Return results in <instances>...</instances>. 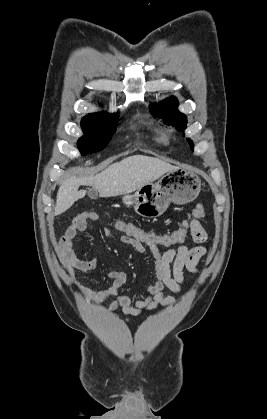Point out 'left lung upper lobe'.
<instances>
[{"label":"left lung upper lobe","instance_id":"5c2ea615","mask_svg":"<svg viewBox=\"0 0 267 419\" xmlns=\"http://www.w3.org/2000/svg\"><path fill=\"white\" fill-rule=\"evenodd\" d=\"M178 106V100L176 98H169L157 105H151V111L158 117L162 118L166 123L176 126L177 129L183 131L187 125V118L184 114L180 113L176 107ZM191 150H193V142L188 139Z\"/></svg>","mask_w":267,"mask_h":419}]
</instances>
